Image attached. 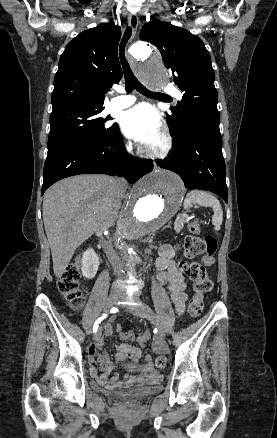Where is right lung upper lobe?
I'll list each match as a JSON object with an SVG mask.
<instances>
[{"instance_id":"1","label":"right lung upper lobe","mask_w":277,"mask_h":438,"mask_svg":"<svg viewBox=\"0 0 277 438\" xmlns=\"http://www.w3.org/2000/svg\"><path fill=\"white\" fill-rule=\"evenodd\" d=\"M120 36L119 26L102 23L67 44L54 79L52 115L104 109V94L122 78Z\"/></svg>"}]
</instances>
